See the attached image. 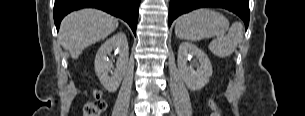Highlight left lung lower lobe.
Returning <instances> with one entry per match:
<instances>
[{
    "instance_id": "obj_1",
    "label": "left lung lower lobe",
    "mask_w": 305,
    "mask_h": 116,
    "mask_svg": "<svg viewBox=\"0 0 305 116\" xmlns=\"http://www.w3.org/2000/svg\"><path fill=\"white\" fill-rule=\"evenodd\" d=\"M201 7H220L237 14L245 23H249V0H170L169 26L179 15Z\"/></svg>"
}]
</instances>
